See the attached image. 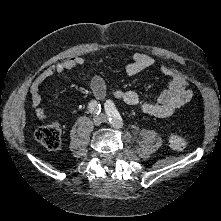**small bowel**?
Here are the masks:
<instances>
[{"mask_svg": "<svg viewBox=\"0 0 221 221\" xmlns=\"http://www.w3.org/2000/svg\"><path fill=\"white\" fill-rule=\"evenodd\" d=\"M85 62L81 56H73L46 68L33 81L30 86L31 105L35 109L36 116L41 120H47L48 116L41 107L40 88L50 77L69 71L75 67L83 65ZM155 60L144 53H134L132 61L125 66L127 75L133 76L143 70L152 67ZM161 72L169 78L167 88L156 100L142 99L135 91L114 89L109 91L104 79L95 74L89 81L90 89L94 97L100 101L104 100L108 93L116 99L130 105L138 107L143 113L155 117H168L176 112L180 107L188 103L193 97V91L189 87V81L183 73L169 65H162Z\"/></svg>", "mask_w": 221, "mask_h": 221, "instance_id": "obj_1", "label": "small bowel"}]
</instances>
